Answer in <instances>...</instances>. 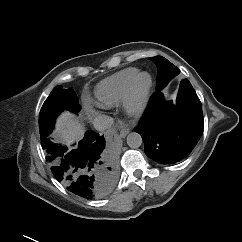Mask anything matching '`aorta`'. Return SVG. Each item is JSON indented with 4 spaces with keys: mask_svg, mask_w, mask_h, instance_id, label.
I'll return each instance as SVG.
<instances>
[{
    "mask_svg": "<svg viewBox=\"0 0 242 242\" xmlns=\"http://www.w3.org/2000/svg\"><path fill=\"white\" fill-rule=\"evenodd\" d=\"M142 137L139 133L137 132H131L127 136V145L130 148L136 149L142 145Z\"/></svg>",
    "mask_w": 242,
    "mask_h": 242,
    "instance_id": "aorta-1",
    "label": "aorta"
}]
</instances>
